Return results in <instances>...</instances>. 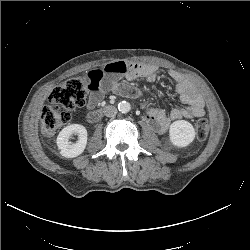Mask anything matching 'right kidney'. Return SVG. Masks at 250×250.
<instances>
[{
	"instance_id": "right-kidney-1",
	"label": "right kidney",
	"mask_w": 250,
	"mask_h": 250,
	"mask_svg": "<svg viewBox=\"0 0 250 250\" xmlns=\"http://www.w3.org/2000/svg\"><path fill=\"white\" fill-rule=\"evenodd\" d=\"M78 136L76 143H71L69 138L73 135ZM87 145V130L80 124H71L61 130L57 137V146L60 154L66 158L79 156Z\"/></svg>"
}]
</instances>
